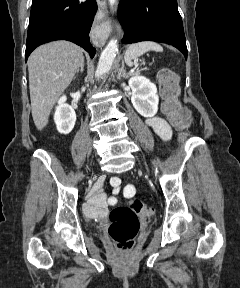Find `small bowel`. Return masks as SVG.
Masks as SVG:
<instances>
[{
	"mask_svg": "<svg viewBox=\"0 0 240 288\" xmlns=\"http://www.w3.org/2000/svg\"><path fill=\"white\" fill-rule=\"evenodd\" d=\"M146 124L153 129V131L163 140H169L171 137V127L166 120L161 117L155 116L148 118ZM111 185L113 187L114 195L120 192V179L114 177L111 179ZM103 179L98 180L93 187L88 202L84 207V212L89 219H97L99 217H105L107 215V206L115 205L117 198L112 196L106 197V194L102 191ZM134 194V187L127 185L124 189V195L127 198L132 197Z\"/></svg>",
	"mask_w": 240,
	"mask_h": 288,
	"instance_id": "c3829d8e",
	"label": "small bowel"
}]
</instances>
